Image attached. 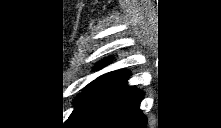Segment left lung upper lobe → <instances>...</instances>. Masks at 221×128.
Returning a JSON list of instances; mask_svg holds the SVG:
<instances>
[{"instance_id": "1", "label": "left lung upper lobe", "mask_w": 221, "mask_h": 128, "mask_svg": "<svg viewBox=\"0 0 221 128\" xmlns=\"http://www.w3.org/2000/svg\"><path fill=\"white\" fill-rule=\"evenodd\" d=\"M110 59H105L95 68L100 69L105 64H108ZM130 72L127 70H117L113 72L106 73L90 84H88L84 89L83 93L79 94L77 99L75 100V109L68 117V122L70 119L83 112L90 105L94 104L97 100H99L105 93H107L112 87H114L118 82H120L123 78L129 75ZM65 122V123H66Z\"/></svg>"}]
</instances>
